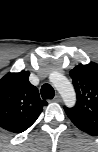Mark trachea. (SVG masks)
<instances>
[{
	"mask_svg": "<svg viewBox=\"0 0 98 152\" xmlns=\"http://www.w3.org/2000/svg\"><path fill=\"white\" fill-rule=\"evenodd\" d=\"M55 96V91L50 84H44L41 87V97L43 99H52Z\"/></svg>",
	"mask_w": 98,
	"mask_h": 152,
	"instance_id": "trachea-1",
	"label": "trachea"
}]
</instances>
